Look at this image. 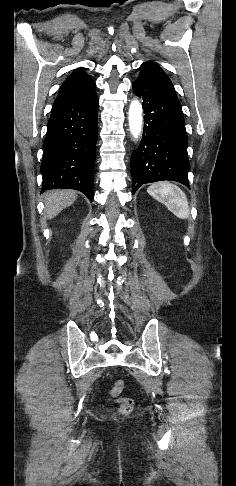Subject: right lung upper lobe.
<instances>
[{"instance_id": "1", "label": "right lung upper lobe", "mask_w": 236, "mask_h": 486, "mask_svg": "<svg viewBox=\"0 0 236 486\" xmlns=\"http://www.w3.org/2000/svg\"><path fill=\"white\" fill-rule=\"evenodd\" d=\"M80 69L83 68L75 70L63 82L53 106L86 99L95 93V82L85 72L80 71Z\"/></svg>"}]
</instances>
